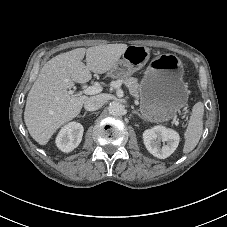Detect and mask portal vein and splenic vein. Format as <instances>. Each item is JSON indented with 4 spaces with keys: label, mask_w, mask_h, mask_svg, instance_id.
<instances>
[{
    "label": "portal vein and splenic vein",
    "mask_w": 227,
    "mask_h": 227,
    "mask_svg": "<svg viewBox=\"0 0 227 227\" xmlns=\"http://www.w3.org/2000/svg\"><path fill=\"white\" fill-rule=\"evenodd\" d=\"M101 91H102V87L100 85H92V86H89L86 89H84L83 93H85L87 95H94V94L100 93ZM69 93H73L72 90H70ZM173 123L175 124V126H178L179 125V119L174 118Z\"/></svg>",
    "instance_id": "18ae733b"
}]
</instances>
